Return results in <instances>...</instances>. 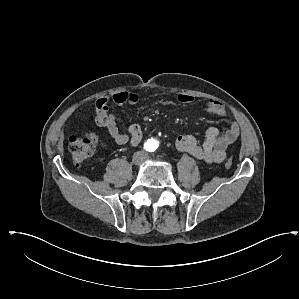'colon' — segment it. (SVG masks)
<instances>
[{
    "mask_svg": "<svg viewBox=\"0 0 299 299\" xmlns=\"http://www.w3.org/2000/svg\"><path fill=\"white\" fill-rule=\"evenodd\" d=\"M98 142V136L93 132H87L82 136H72L69 141V149L74 165L81 166L93 154L95 146ZM233 159L227 158L226 167H231Z\"/></svg>",
    "mask_w": 299,
    "mask_h": 299,
    "instance_id": "5ec220e1",
    "label": "colon"
}]
</instances>
